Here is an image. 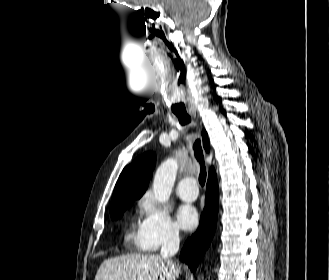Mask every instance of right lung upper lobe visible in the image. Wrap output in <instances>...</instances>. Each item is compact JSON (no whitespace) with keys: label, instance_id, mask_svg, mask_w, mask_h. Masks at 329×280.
Returning a JSON list of instances; mask_svg holds the SVG:
<instances>
[{"label":"right lung upper lobe","instance_id":"right-lung-upper-lobe-1","mask_svg":"<svg viewBox=\"0 0 329 280\" xmlns=\"http://www.w3.org/2000/svg\"><path fill=\"white\" fill-rule=\"evenodd\" d=\"M203 146L209 151L208 136L206 131L202 132ZM156 155L153 152H146L137 157L133 163L126 166L115 185L111 201V208L123 200L140 198L149 183L155 165ZM211 168L209 175L214 173Z\"/></svg>","mask_w":329,"mask_h":280}]
</instances>
